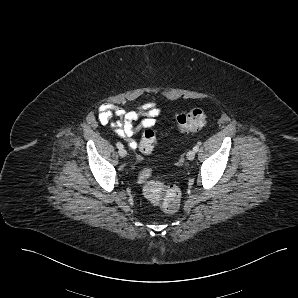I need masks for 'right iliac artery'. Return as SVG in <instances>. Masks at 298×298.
Wrapping results in <instances>:
<instances>
[{
	"label": "right iliac artery",
	"instance_id": "obj_1",
	"mask_svg": "<svg viewBox=\"0 0 298 298\" xmlns=\"http://www.w3.org/2000/svg\"><path fill=\"white\" fill-rule=\"evenodd\" d=\"M116 146H117V148H119V149L123 148V145H122L120 142H117V143H116Z\"/></svg>",
	"mask_w": 298,
	"mask_h": 298
}]
</instances>
